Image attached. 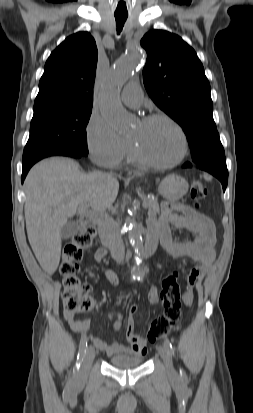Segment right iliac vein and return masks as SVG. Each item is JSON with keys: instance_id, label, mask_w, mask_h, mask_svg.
I'll return each mask as SVG.
<instances>
[{"instance_id": "63e3f726", "label": "right iliac vein", "mask_w": 253, "mask_h": 413, "mask_svg": "<svg viewBox=\"0 0 253 413\" xmlns=\"http://www.w3.org/2000/svg\"><path fill=\"white\" fill-rule=\"evenodd\" d=\"M95 357V350L92 346H89L86 350L84 360H83V365L82 369L77 377L78 381H84L87 378L88 371L92 365V362Z\"/></svg>"}]
</instances>
